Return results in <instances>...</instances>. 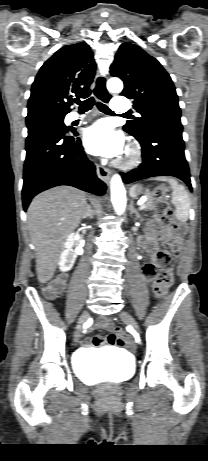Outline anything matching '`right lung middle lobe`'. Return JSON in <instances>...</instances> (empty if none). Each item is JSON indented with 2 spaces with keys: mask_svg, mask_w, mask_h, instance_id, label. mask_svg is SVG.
Returning a JSON list of instances; mask_svg holds the SVG:
<instances>
[{
  "mask_svg": "<svg viewBox=\"0 0 208 461\" xmlns=\"http://www.w3.org/2000/svg\"><path fill=\"white\" fill-rule=\"evenodd\" d=\"M64 117H48V116H34L26 118V125L28 128V136H31L38 131L47 128H60L67 130L64 122Z\"/></svg>",
  "mask_w": 208,
  "mask_h": 461,
  "instance_id": "right-lung-middle-lobe-1",
  "label": "right lung middle lobe"
}]
</instances>
